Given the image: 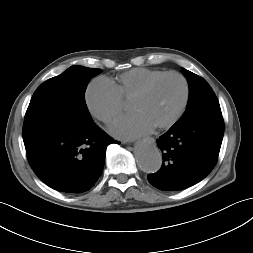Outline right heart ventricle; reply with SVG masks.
Segmentation results:
<instances>
[{
  "label": "right heart ventricle",
  "mask_w": 253,
  "mask_h": 253,
  "mask_svg": "<svg viewBox=\"0 0 253 253\" xmlns=\"http://www.w3.org/2000/svg\"><path fill=\"white\" fill-rule=\"evenodd\" d=\"M164 73L162 70L134 68L120 74L111 82L122 100H130L147 82Z\"/></svg>",
  "instance_id": "1"
}]
</instances>
